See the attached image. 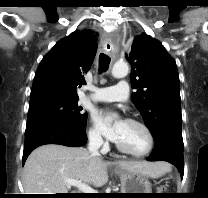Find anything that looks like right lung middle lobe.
Listing matches in <instances>:
<instances>
[{"label": "right lung middle lobe", "instance_id": "1", "mask_svg": "<svg viewBox=\"0 0 208 198\" xmlns=\"http://www.w3.org/2000/svg\"><path fill=\"white\" fill-rule=\"evenodd\" d=\"M78 99L55 100L29 107L27 125L58 120L67 122L80 130H86L87 113L78 106Z\"/></svg>", "mask_w": 208, "mask_h": 198}]
</instances>
